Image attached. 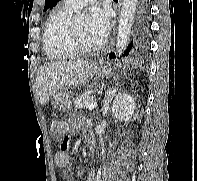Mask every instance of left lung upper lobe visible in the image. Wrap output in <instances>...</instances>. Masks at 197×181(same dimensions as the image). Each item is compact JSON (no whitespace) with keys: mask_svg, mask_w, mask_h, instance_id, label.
<instances>
[{"mask_svg":"<svg viewBox=\"0 0 197 181\" xmlns=\"http://www.w3.org/2000/svg\"><path fill=\"white\" fill-rule=\"evenodd\" d=\"M58 1L60 0H46L44 11H46L48 8H53L57 4Z\"/></svg>","mask_w":197,"mask_h":181,"instance_id":"obj_1","label":"left lung upper lobe"}]
</instances>
